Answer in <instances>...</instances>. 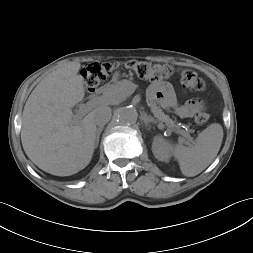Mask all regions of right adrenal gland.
I'll list each match as a JSON object with an SVG mask.
<instances>
[{
	"instance_id": "1",
	"label": "right adrenal gland",
	"mask_w": 253,
	"mask_h": 253,
	"mask_svg": "<svg viewBox=\"0 0 253 253\" xmlns=\"http://www.w3.org/2000/svg\"><path fill=\"white\" fill-rule=\"evenodd\" d=\"M102 130H103V126L99 127V128L96 130L95 148L98 147L99 139H100V134H101Z\"/></svg>"
}]
</instances>
